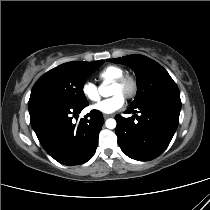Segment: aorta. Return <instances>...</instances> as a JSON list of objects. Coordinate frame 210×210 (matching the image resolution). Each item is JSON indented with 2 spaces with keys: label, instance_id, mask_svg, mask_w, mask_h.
I'll use <instances>...</instances> for the list:
<instances>
[{
  "label": "aorta",
  "instance_id": "1",
  "mask_svg": "<svg viewBox=\"0 0 210 210\" xmlns=\"http://www.w3.org/2000/svg\"><path fill=\"white\" fill-rule=\"evenodd\" d=\"M100 94L102 96H107L108 95L107 88H101ZM105 124L108 129H114L116 127V120L115 119H107Z\"/></svg>",
  "mask_w": 210,
  "mask_h": 210
}]
</instances>
